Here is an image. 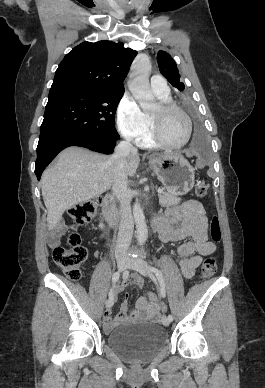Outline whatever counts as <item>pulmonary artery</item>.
Here are the masks:
<instances>
[{"label":"pulmonary artery","mask_w":265,"mask_h":388,"mask_svg":"<svg viewBox=\"0 0 265 388\" xmlns=\"http://www.w3.org/2000/svg\"><path fill=\"white\" fill-rule=\"evenodd\" d=\"M151 84L153 90H169V83H165L161 75H152Z\"/></svg>","instance_id":"e3ab8cb5"}]
</instances>
